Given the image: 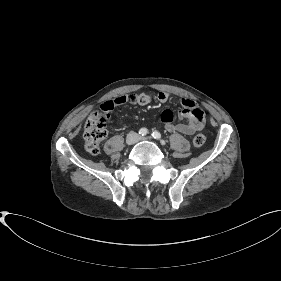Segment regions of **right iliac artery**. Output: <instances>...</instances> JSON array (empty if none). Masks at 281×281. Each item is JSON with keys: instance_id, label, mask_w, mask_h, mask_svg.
<instances>
[{"instance_id": "1", "label": "right iliac artery", "mask_w": 281, "mask_h": 281, "mask_svg": "<svg viewBox=\"0 0 281 281\" xmlns=\"http://www.w3.org/2000/svg\"><path fill=\"white\" fill-rule=\"evenodd\" d=\"M147 133H148V130H147L146 128H141V129L139 130V134H140L141 136H145Z\"/></svg>"}]
</instances>
